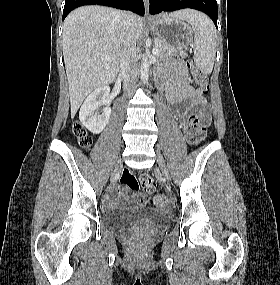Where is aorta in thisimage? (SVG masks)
<instances>
[{"label": "aorta", "instance_id": "762f6f07", "mask_svg": "<svg viewBox=\"0 0 280 285\" xmlns=\"http://www.w3.org/2000/svg\"><path fill=\"white\" fill-rule=\"evenodd\" d=\"M140 78L143 84L148 82L149 78V63L146 58H143L141 67H140Z\"/></svg>", "mask_w": 280, "mask_h": 285}]
</instances>
